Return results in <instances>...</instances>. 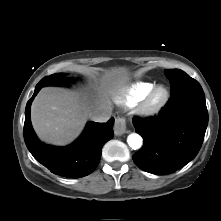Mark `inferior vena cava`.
Segmentation results:
<instances>
[{"label": "inferior vena cava", "instance_id": "inferior-vena-cava-1", "mask_svg": "<svg viewBox=\"0 0 221 221\" xmlns=\"http://www.w3.org/2000/svg\"><path fill=\"white\" fill-rule=\"evenodd\" d=\"M111 117V110L108 107H100L95 109L91 115L90 118L94 122H107Z\"/></svg>", "mask_w": 221, "mask_h": 221}]
</instances>
